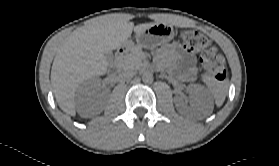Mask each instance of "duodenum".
Instances as JSON below:
<instances>
[{
    "instance_id": "1",
    "label": "duodenum",
    "mask_w": 279,
    "mask_h": 166,
    "mask_svg": "<svg viewBox=\"0 0 279 166\" xmlns=\"http://www.w3.org/2000/svg\"><path fill=\"white\" fill-rule=\"evenodd\" d=\"M132 46V43L127 42L118 48L114 63L112 65V72H116L120 69L124 56L129 52Z\"/></svg>"
}]
</instances>
